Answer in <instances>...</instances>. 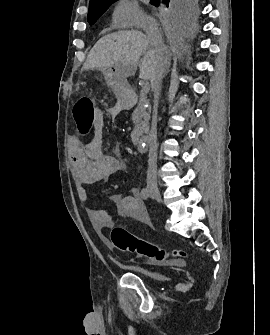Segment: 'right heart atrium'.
Wrapping results in <instances>:
<instances>
[{
    "label": "right heart atrium",
    "mask_w": 270,
    "mask_h": 335,
    "mask_svg": "<svg viewBox=\"0 0 270 335\" xmlns=\"http://www.w3.org/2000/svg\"><path fill=\"white\" fill-rule=\"evenodd\" d=\"M114 22L119 28H137L140 25H158L138 5L136 0H118L113 12Z\"/></svg>",
    "instance_id": "right-heart-atrium-1"
}]
</instances>
